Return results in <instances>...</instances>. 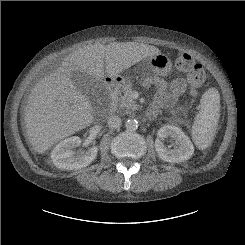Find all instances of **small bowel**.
Returning a JSON list of instances; mask_svg holds the SVG:
<instances>
[{
	"mask_svg": "<svg viewBox=\"0 0 245 245\" xmlns=\"http://www.w3.org/2000/svg\"><path fill=\"white\" fill-rule=\"evenodd\" d=\"M146 84L155 89V95L150 105L147 116L153 118L160 109L168 110L171 114L177 113L181 107L178 99L184 94L186 89L185 79L175 78L170 83L158 77H149Z\"/></svg>",
	"mask_w": 245,
	"mask_h": 245,
	"instance_id": "1",
	"label": "small bowel"
}]
</instances>
